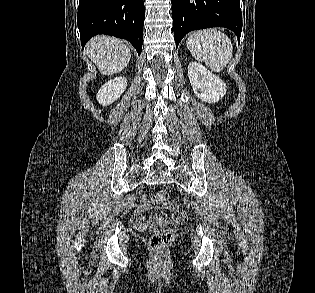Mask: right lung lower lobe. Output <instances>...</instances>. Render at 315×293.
<instances>
[{"mask_svg": "<svg viewBox=\"0 0 315 293\" xmlns=\"http://www.w3.org/2000/svg\"><path fill=\"white\" fill-rule=\"evenodd\" d=\"M145 19L144 0H79L77 22L82 47L97 35L128 40L140 55Z\"/></svg>", "mask_w": 315, "mask_h": 293, "instance_id": "98d812e1", "label": "right lung lower lobe"}]
</instances>
